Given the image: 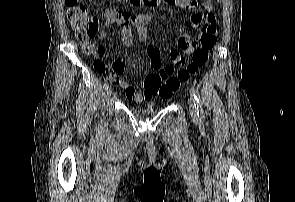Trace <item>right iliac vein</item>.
<instances>
[{"label":"right iliac vein","mask_w":295,"mask_h":202,"mask_svg":"<svg viewBox=\"0 0 295 202\" xmlns=\"http://www.w3.org/2000/svg\"><path fill=\"white\" fill-rule=\"evenodd\" d=\"M106 94H107L108 96L112 94V88H111V87H109V88L107 89Z\"/></svg>","instance_id":"right-iliac-vein-1"}]
</instances>
